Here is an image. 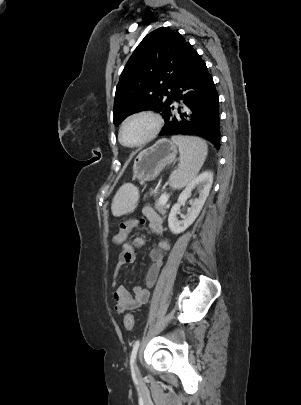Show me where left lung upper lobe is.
I'll use <instances>...</instances> for the list:
<instances>
[{"mask_svg":"<svg viewBox=\"0 0 301 405\" xmlns=\"http://www.w3.org/2000/svg\"><path fill=\"white\" fill-rule=\"evenodd\" d=\"M195 49L166 27L149 33L129 58L120 75L114 100V124L128 115L153 110L164 117Z\"/></svg>","mask_w":301,"mask_h":405,"instance_id":"5c2ea615","label":"left lung upper lobe"}]
</instances>
